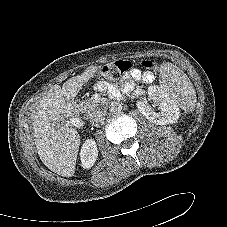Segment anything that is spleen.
<instances>
[{
	"mask_svg": "<svg viewBox=\"0 0 227 227\" xmlns=\"http://www.w3.org/2000/svg\"><path fill=\"white\" fill-rule=\"evenodd\" d=\"M160 87L168 93L182 110L192 112L196 105V93L186 74L171 63L160 68Z\"/></svg>",
	"mask_w": 227,
	"mask_h": 227,
	"instance_id": "spleen-1",
	"label": "spleen"
}]
</instances>
